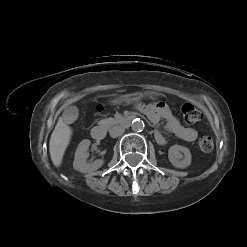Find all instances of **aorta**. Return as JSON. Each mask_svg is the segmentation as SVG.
<instances>
[{"label":"aorta","mask_w":247,"mask_h":247,"mask_svg":"<svg viewBox=\"0 0 247 247\" xmlns=\"http://www.w3.org/2000/svg\"><path fill=\"white\" fill-rule=\"evenodd\" d=\"M131 129L134 132H141L144 129V122L139 118L134 119L131 123Z\"/></svg>","instance_id":"762f6f07"}]
</instances>
